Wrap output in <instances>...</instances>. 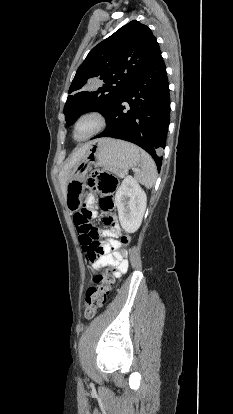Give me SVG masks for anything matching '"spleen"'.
I'll return each instance as SVG.
<instances>
[{
    "mask_svg": "<svg viewBox=\"0 0 233 414\" xmlns=\"http://www.w3.org/2000/svg\"><path fill=\"white\" fill-rule=\"evenodd\" d=\"M140 170L136 172L135 177L138 182L147 188H151L157 178V169L152 157L141 150V165Z\"/></svg>",
    "mask_w": 233,
    "mask_h": 414,
    "instance_id": "spleen-1",
    "label": "spleen"
}]
</instances>
